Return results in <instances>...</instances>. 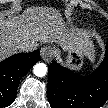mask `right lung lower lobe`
<instances>
[{
    "mask_svg": "<svg viewBox=\"0 0 108 108\" xmlns=\"http://www.w3.org/2000/svg\"><path fill=\"white\" fill-rule=\"evenodd\" d=\"M40 60V52L15 54L0 63V108L15 100L22 76Z\"/></svg>",
    "mask_w": 108,
    "mask_h": 108,
    "instance_id": "1",
    "label": "right lung lower lobe"
}]
</instances>
